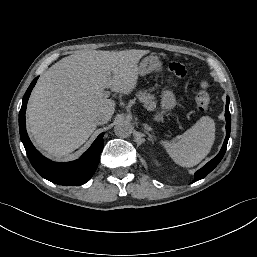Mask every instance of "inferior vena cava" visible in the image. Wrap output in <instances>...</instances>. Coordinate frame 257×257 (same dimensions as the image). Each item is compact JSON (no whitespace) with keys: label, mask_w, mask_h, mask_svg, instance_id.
<instances>
[{"label":"inferior vena cava","mask_w":257,"mask_h":257,"mask_svg":"<svg viewBox=\"0 0 257 257\" xmlns=\"http://www.w3.org/2000/svg\"><path fill=\"white\" fill-rule=\"evenodd\" d=\"M111 116L109 114H100L96 117V123L99 124H105L109 121Z\"/></svg>","instance_id":"1"}]
</instances>
